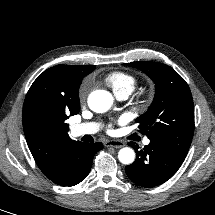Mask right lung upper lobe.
I'll return each mask as SVG.
<instances>
[{
    "instance_id": "1",
    "label": "right lung upper lobe",
    "mask_w": 215,
    "mask_h": 215,
    "mask_svg": "<svg viewBox=\"0 0 215 215\" xmlns=\"http://www.w3.org/2000/svg\"><path fill=\"white\" fill-rule=\"evenodd\" d=\"M94 68L86 65L54 66L34 81L26 95L23 105L25 138L38 167L52 181L61 176L66 153L77 141L69 137V127L65 121L57 119L52 124H44L35 119L30 107L31 94L37 90L50 97L64 96L67 101L65 114L68 119L79 112V86L82 79Z\"/></svg>"
}]
</instances>
